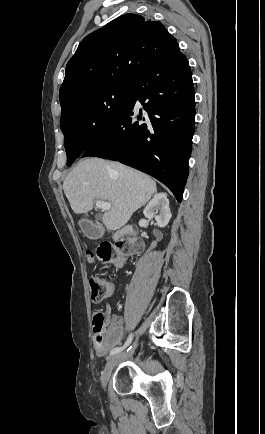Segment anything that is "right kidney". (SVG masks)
<instances>
[{
    "label": "right kidney",
    "mask_w": 265,
    "mask_h": 434,
    "mask_svg": "<svg viewBox=\"0 0 265 434\" xmlns=\"http://www.w3.org/2000/svg\"><path fill=\"white\" fill-rule=\"evenodd\" d=\"M143 214L145 218H148V220H155L159 228H165L169 220L172 218L169 208V200H167V194H165V192L155 194L154 198H152L149 204H147Z\"/></svg>",
    "instance_id": "ca27d5eb"
}]
</instances>
